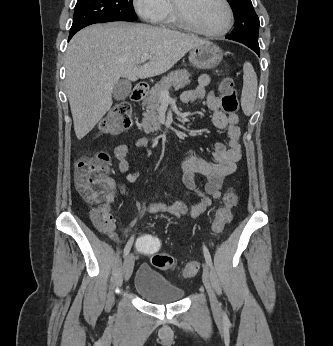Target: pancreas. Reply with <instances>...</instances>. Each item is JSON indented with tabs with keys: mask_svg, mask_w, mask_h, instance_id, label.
I'll use <instances>...</instances> for the list:
<instances>
[{
	"mask_svg": "<svg viewBox=\"0 0 333 346\" xmlns=\"http://www.w3.org/2000/svg\"><path fill=\"white\" fill-rule=\"evenodd\" d=\"M191 74L185 70H176L163 77L149 92L142 104L146 107L143 113L142 127L146 133L158 131L160 129L158 109L161 103V94L168 91L171 87L176 90L184 88L190 83Z\"/></svg>",
	"mask_w": 333,
	"mask_h": 346,
	"instance_id": "obj_1",
	"label": "pancreas"
}]
</instances>
